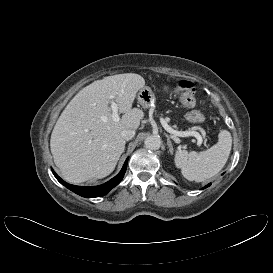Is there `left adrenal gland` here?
Masks as SVG:
<instances>
[{"instance_id": "a2214340", "label": "left adrenal gland", "mask_w": 273, "mask_h": 273, "mask_svg": "<svg viewBox=\"0 0 273 273\" xmlns=\"http://www.w3.org/2000/svg\"><path fill=\"white\" fill-rule=\"evenodd\" d=\"M166 137H167V145L169 147V152L170 154H173V146H172V142L170 140V137L166 134Z\"/></svg>"}]
</instances>
